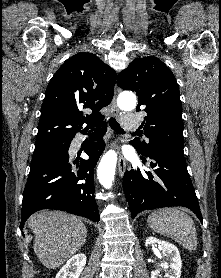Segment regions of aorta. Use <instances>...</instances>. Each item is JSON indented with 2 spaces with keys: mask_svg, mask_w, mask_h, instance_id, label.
Instances as JSON below:
<instances>
[{
  "mask_svg": "<svg viewBox=\"0 0 221 278\" xmlns=\"http://www.w3.org/2000/svg\"><path fill=\"white\" fill-rule=\"evenodd\" d=\"M118 105L122 109H133L136 105V98L134 95H131L130 97H123L118 100ZM116 163L117 154L111 150L103 156L98 166V180L106 189H110L113 185Z\"/></svg>",
  "mask_w": 221,
  "mask_h": 278,
  "instance_id": "762f6f07",
  "label": "aorta"
}]
</instances>
